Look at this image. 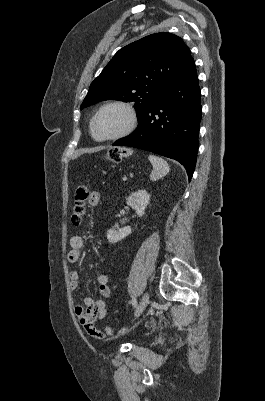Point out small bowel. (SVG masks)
<instances>
[{
    "mask_svg": "<svg viewBox=\"0 0 265 401\" xmlns=\"http://www.w3.org/2000/svg\"><path fill=\"white\" fill-rule=\"evenodd\" d=\"M99 203L100 194L96 191L92 192L88 200L89 206L94 207L97 206ZM69 246L70 250L68 252L67 259L70 263H76L80 259L81 250L84 247V240L80 235H73L69 240ZM69 278L71 289H77L79 284V273L76 270H73L69 273ZM96 282L101 297L108 298L111 294L108 274L101 273L97 275ZM83 301L85 308L77 305L74 308V312L84 328H86V325L89 323L94 325L96 319H103L106 317L108 308L106 302L103 299L94 300L91 297H85Z\"/></svg>",
    "mask_w": 265,
    "mask_h": 401,
    "instance_id": "1",
    "label": "small bowel"
}]
</instances>
